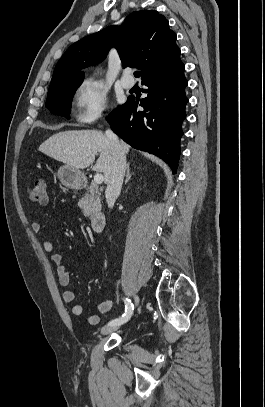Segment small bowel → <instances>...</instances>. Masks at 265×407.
<instances>
[{"instance_id": "1", "label": "small bowel", "mask_w": 265, "mask_h": 407, "mask_svg": "<svg viewBox=\"0 0 265 407\" xmlns=\"http://www.w3.org/2000/svg\"><path fill=\"white\" fill-rule=\"evenodd\" d=\"M33 232L39 233L42 230V224L40 222H33L31 225ZM42 248L45 252L50 254L51 261L56 265V272L58 275L59 283L61 286L67 289L63 292V300L65 303L72 304L71 312L75 316H79L83 313V307L81 304L74 303L76 300V292L73 289L68 288L71 284L70 273L66 266L63 264L62 256L59 253L54 252L53 244L44 240L42 242ZM112 308L111 300H104L98 304V311L102 314L107 313ZM99 316L97 314H90L87 317V322L90 325H97L99 323Z\"/></svg>"}]
</instances>
